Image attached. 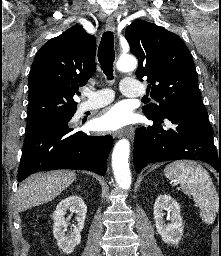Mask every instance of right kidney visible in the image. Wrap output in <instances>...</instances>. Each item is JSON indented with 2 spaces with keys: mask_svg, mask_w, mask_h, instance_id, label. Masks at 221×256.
I'll return each mask as SVG.
<instances>
[{
  "mask_svg": "<svg viewBox=\"0 0 221 256\" xmlns=\"http://www.w3.org/2000/svg\"><path fill=\"white\" fill-rule=\"evenodd\" d=\"M76 213V226L73 225V231L65 235L68 222L65 219L66 211ZM87 213V206L83 199L77 195H72L60 201L53 213V235L57 240L58 247L66 254L74 251L75 247L81 242V231L84 228V222Z\"/></svg>",
  "mask_w": 221,
  "mask_h": 256,
  "instance_id": "right-kidney-1",
  "label": "right kidney"
}]
</instances>
